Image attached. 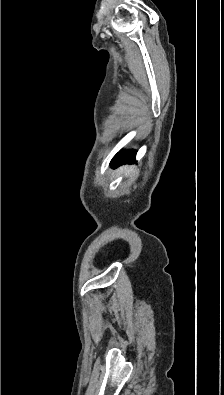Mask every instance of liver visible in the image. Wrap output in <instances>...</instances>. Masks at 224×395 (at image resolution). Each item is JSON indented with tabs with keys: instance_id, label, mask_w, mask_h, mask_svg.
<instances>
[{
	"instance_id": "6515ba94",
	"label": "liver",
	"mask_w": 224,
	"mask_h": 395,
	"mask_svg": "<svg viewBox=\"0 0 224 395\" xmlns=\"http://www.w3.org/2000/svg\"><path fill=\"white\" fill-rule=\"evenodd\" d=\"M122 171H123V168H120V169L118 170V172H122ZM129 172H133V168H130V169L128 170L127 173H129Z\"/></svg>"
}]
</instances>
